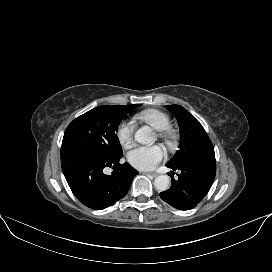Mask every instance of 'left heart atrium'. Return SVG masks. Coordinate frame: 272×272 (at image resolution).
<instances>
[{"instance_id": "left-heart-atrium-1", "label": "left heart atrium", "mask_w": 272, "mask_h": 272, "mask_svg": "<svg viewBox=\"0 0 272 272\" xmlns=\"http://www.w3.org/2000/svg\"><path fill=\"white\" fill-rule=\"evenodd\" d=\"M165 157L162 147L154 146H136L131 149L127 155L129 163L140 170L154 169Z\"/></svg>"}]
</instances>
